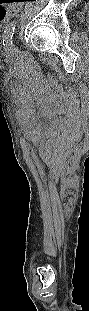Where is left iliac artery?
Masks as SVG:
<instances>
[{"instance_id": "left-iliac-artery-1", "label": "left iliac artery", "mask_w": 89, "mask_h": 311, "mask_svg": "<svg viewBox=\"0 0 89 311\" xmlns=\"http://www.w3.org/2000/svg\"><path fill=\"white\" fill-rule=\"evenodd\" d=\"M16 21H11L5 31H4V34H3V45H7V44H10L12 43L11 42V39L13 37V34H14V30H15V27H16Z\"/></svg>"}]
</instances>
